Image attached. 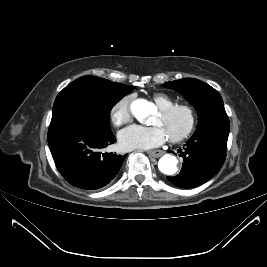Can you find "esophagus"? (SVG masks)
Listing matches in <instances>:
<instances>
[{"label": "esophagus", "instance_id": "obj_1", "mask_svg": "<svg viewBox=\"0 0 267 267\" xmlns=\"http://www.w3.org/2000/svg\"><path fill=\"white\" fill-rule=\"evenodd\" d=\"M148 154L150 156H152V157L157 158V157L162 156L164 154V151H162V150H154V151H149Z\"/></svg>", "mask_w": 267, "mask_h": 267}]
</instances>
